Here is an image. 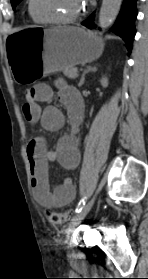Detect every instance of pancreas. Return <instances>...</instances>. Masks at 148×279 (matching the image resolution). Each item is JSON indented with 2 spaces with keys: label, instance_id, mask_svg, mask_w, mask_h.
Wrapping results in <instances>:
<instances>
[{
  "label": "pancreas",
  "instance_id": "obj_1",
  "mask_svg": "<svg viewBox=\"0 0 148 279\" xmlns=\"http://www.w3.org/2000/svg\"><path fill=\"white\" fill-rule=\"evenodd\" d=\"M63 73L66 77L70 79H76L78 77V70L73 67H64Z\"/></svg>",
  "mask_w": 148,
  "mask_h": 279
}]
</instances>
